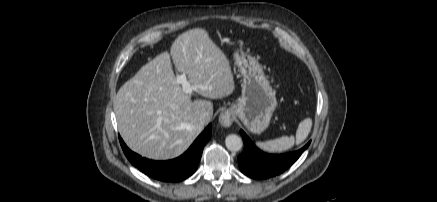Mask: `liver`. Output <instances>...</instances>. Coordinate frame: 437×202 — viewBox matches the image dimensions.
Masks as SVG:
<instances>
[{"label":"liver","mask_w":437,"mask_h":202,"mask_svg":"<svg viewBox=\"0 0 437 202\" xmlns=\"http://www.w3.org/2000/svg\"><path fill=\"white\" fill-rule=\"evenodd\" d=\"M185 74L198 95L209 99L226 97L235 89L227 56L212 41L208 31L188 30L124 83L117 92L114 111L118 130L134 152L155 160L172 159L185 152L203 130L199 117L213 115L209 100H191L176 77Z\"/></svg>","instance_id":"1"}]
</instances>
